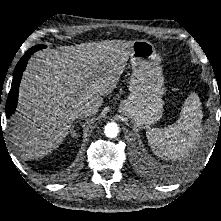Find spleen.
Listing matches in <instances>:
<instances>
[{
    "instance_id": "1",
    "label": "spleen",
    "mask_w": 221,
    "mask_h": 221,
    "mask_svg": "<svg viewBox=\"0 0 221 221\" xmlns=\"http://www.w3.org/2000/svg\"><path fill=\"white\" fill-rule=\"evenodd\" d=\"M202 111L198 96L192 93L184 102L180 118L164 128H148L147 139L154 154L168 160H182L202 136Z\"/></svg>"
}]
</instances>
